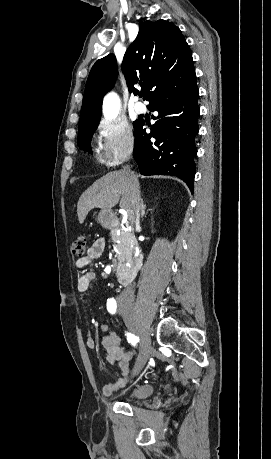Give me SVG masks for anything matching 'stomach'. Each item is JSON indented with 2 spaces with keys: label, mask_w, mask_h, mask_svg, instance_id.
I'll return each instance as SVG.
<instances>
[{
  "label": "stomach",
  "mask_w": 271,
  "mask_h": 459,
  "mask_svg": "<svg viewBox=\"0 0 271 459\" xmlns=\"http://www.w3.org/2000/svg\"><path fill=\"white\" fill-rule=\"evenodd\" d=\"M113 216L114 214H112L111 210H102L98 216V220L99 222H102V224H107V226H109L112 222Z\"/></svg>",
  "instance_id": "obj_1"
}]
</instances>
